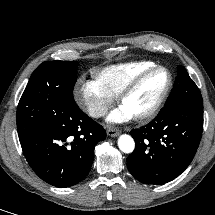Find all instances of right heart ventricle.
Segmentation results:
<instances>
[{"mask_svg": "<svg viewBox=\"0 0 215 215\" xmlns=\"http://www.w3.org/2000/svg\"><path fill=\"white\" fill-rule=\"evenodd\" d=\"M153 65L154 62L146 60L114 64L96 70L94 79L117 96L130 80Z\"/></svg>", "mask_w": 215, "mask_h": 215, "instance_id": "e07e8e85", "label": "right heart ventricle"}]
</instances>
